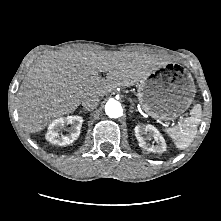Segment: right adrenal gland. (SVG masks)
Listing matches in <instances>:
<instances>
[{"label": "right adrenal gland", "mask_w": 221, "mask_h": 221, "mask_svg": "<svg viewBox=\"0 0 221 221\" xmlns=\"http://www.w3.org/2000/svg\"><path fill=\"white\" fill-rule=\"evenodd\" d=\"M91 110H87L85 108H83V112H90Z\"/></svg>", "instance_id": "right-adrenal-gland-1"}]
</instances>
